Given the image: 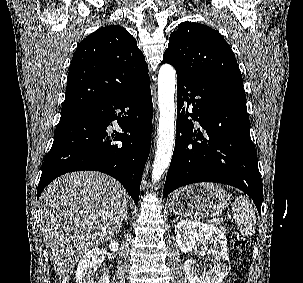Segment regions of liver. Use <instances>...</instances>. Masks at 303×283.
I'll use <instances>...</instances> for the list:
<instances>
[{
	"label": "liver",
	"mask_w": 303,
	"mask_h": 283,
	"mask_svg": "<svg viewBox=\"0 0 303 283\" xmlns=\"http://www.w3.org/2000/svg\"><path fill=\"white\" fill-rule=\"evenodd\" d=\"M39 202L54 271L60 283H69L79 258L114 235L127 208V194L110 176L82 171L54 180Z\"/></svg>",
	"instance_id": "6515ba94"
}]
</instances>
